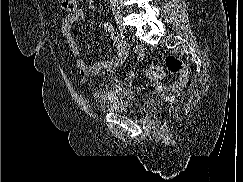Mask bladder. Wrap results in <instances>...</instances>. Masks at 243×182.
<instances>
[{
  "instance_id": "bladder-1",
  "label": "bladder",
  "mask_w": 243,
  "mask_h": 182,
  "mask_svg": "<svg viewBox=\"0 0 243 182\" xmlns=\"http://www.w3.org/2000/svg\"><path fill=\"white\" fill-rule=\"evenodd\" d=\"M145 103L146 96L144 94L130 91L115 102L96 104L95 109L102 113L132 114L140 111Z\"/></svg>"
}]
</instances>
